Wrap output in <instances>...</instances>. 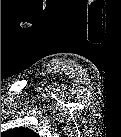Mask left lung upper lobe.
<instances>
[{
    "label": "left lung upper lobe",
    "mask_w": 121,
    "mask_h": 137,
    "mask_svg": "<svg viewBox=\"0 0 121 137\" xmlns=\"http://www.w3.org/2000/svg\"><path fill=\"white\" fill-rule=\"evenodd\" d=\"M7 134L9 135H16V136H34L36 135V133H34L32 130L28 129V128H15V129H12V130H9L7 132Z\"/></svg>",
    "instance_id": "5c2ea615"
}]
</instances>
